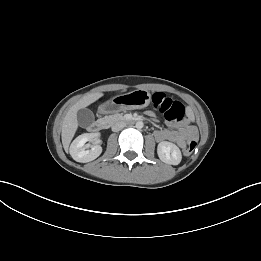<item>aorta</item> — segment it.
<instances>
[{"label": "aorta", "instance_id": "762f6f07", "mask_svg": "<svg viewBox=\"0 0 261 261\" xmlns=\"http://www.w3.org/2000/svg\"><path fill=\"white\" fill-rule=\"evenodd\" d=\"M143 126H144V124H143L142 121H138V122L136 123V128H137V129H141V128H143Z\"/></svg>", "mask_w": 261, "mask_h": 261}]
</instances>
